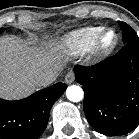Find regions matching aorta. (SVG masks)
<instances>
[{"label": "aorta", "instance_id": "aorta-1", "mask_svg": "<svg viewBox=\"0 0 139 139\" xmlns=\"http://www.w3.org/2000/svg\"><path fill=\"white\" fill-rule=\"evenodd\" d=\"M66 96L72 102H79L84 98V92L80 86L71 85L66 90Z\"/></svg>", "mask_w": 139, "mask_h": 139}]
</instances>
